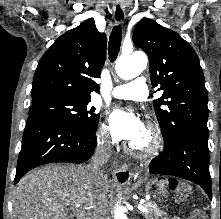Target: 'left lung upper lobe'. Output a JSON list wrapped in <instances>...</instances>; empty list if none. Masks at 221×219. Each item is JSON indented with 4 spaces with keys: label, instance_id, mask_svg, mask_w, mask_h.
Segmentation results:
<instances>
[{
    "label": "left lung upper lobe",
    "instance_id": "5c2ea615",
    "mask_svg": "<svg viewBox=\"0 0 221 219\" xmlns=\"http://www.w3.org/2000/svg\"><path fill=\"white\" fill-rule=\"evenodd\" d=\"M133 42L149 57L152 86L164 91L153 102L164 143L189 129L208 134V95L193 48L176 32L148 18L137 23Z\"/></svg>",
    "mask_w": 221,
    "mask_h": 219
}]
</instances>
